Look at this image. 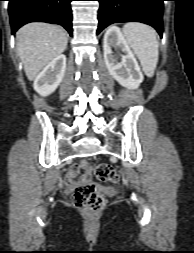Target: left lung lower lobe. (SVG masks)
<instances>
[{
    "mask_svg": "<svg viewBox=\"0 0 194 253\" xmlns=\"http://www.w3.org/2000/svg\"><path fill=\"white\" fill-rule=\"evenodd\" d=\"M99 34L116 22H142L154 27L160 37L163 34V1L165 0H97Z\"/></svg>",
    "mask_w": 194,
    "mask_h": 253,
    "instance_id": "1",
    "label": "left lung lower lobe"
}]
</instances>
